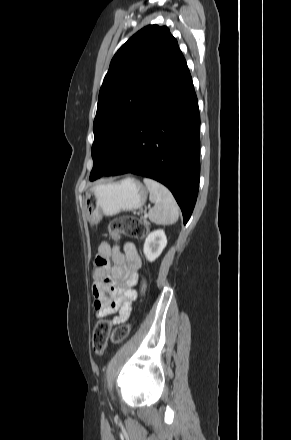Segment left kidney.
<instances>
[{
    "label": "left kidney",
    "instance_id": "5707ae66",
    "mask_svg": "<svg viewBox=\"0 0 291 440\" xmlns=\"http://www.w3.org/2000/svg\"><path fill=\"white\" fill-rule=\"evenodd\" d=\"M167 245V238L162 229L151 232L144 243L143 252L146 259L153 262L157 259Z\"/></svg>",
    "mask_w": 291,
    "mask_h": 440
}]
</instances>
